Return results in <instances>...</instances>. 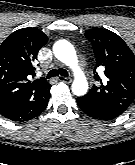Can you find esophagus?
<instances>
[{
    "label": "esophagus",
    "mask_w": 135,
    "mask_h": 165,
    "mask_svg": "<svg viewBox=\"0 0 135 165\" xmlns=\"http://www.w3.org/2000/svg\"><path fill=\"white\" fill-rule=\"evenodd\" d=\"M58 80H59L60 82H64V83H70V82H72V79H71V78L63 77V76H59V77H58Z\"/></svg>",
    "instance_id": "esophagus-1"
}]
</instances>
